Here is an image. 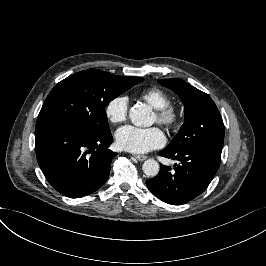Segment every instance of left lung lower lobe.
Wrapping results in <instances>:
<instances>
[{"label": "left lung lower lobe", "instance_id": "obj_1", "mask_svg": "<svg viewBox=\"0 0 266 266\" xmlns=\"http://www.w3.org/2000/svg\"><path fill=\"white\" fill-rule=\"evenodd\" d=\"M222 147L198 144L179 151L163 149L160 156L180 161L171 167L161 164L160 172L147 180L148 189L160 200L181 205L205 191L215 176L221 160Z\"/></svg>", "mask_w": 266, "mask_h": 266}]
</instances>
